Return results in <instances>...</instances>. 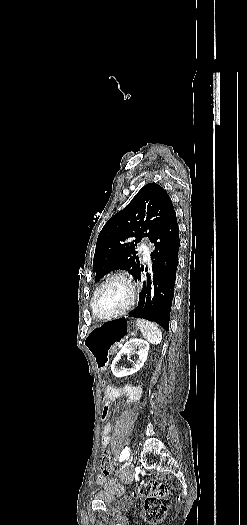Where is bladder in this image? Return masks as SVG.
Masks as SVG:
<instances>
[{
  "label": "bladder",
  "instance_id": "obj_1",
  "mask_svg": "<svg viewBox=\"0 0 247 525\" xmlns=\"http://www.w3.org/2000/svg\"><path fill=\"white\" fill-rule=\"evenodd\" d=\"M108 507H118L120 509H129L135 505V498L130 497L126 494L119 495L118 497H112L106 502Z\"/></svg>",
  "mask_w": 247,
  "mask_h": 525
}]
</instances>
